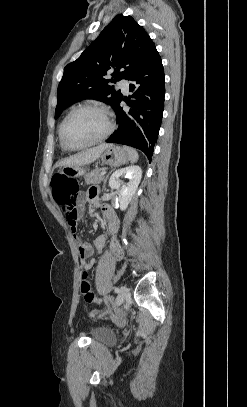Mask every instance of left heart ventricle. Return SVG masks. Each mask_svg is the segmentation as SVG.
<instances>
[{
	"label": "left heart ventricle",
	"mask_w": 247,
	"mask_h": 407,
	"mask_svg": "<svg viewBox=\"0 0 247 407\" xmlns=\"http://www.w3.org/2000/svg\"><path fill=\"white\" fill-rule=\"evenodd\" d=\"M107 126V121L100 112L80 110L66 122L64 139L70 146L84 145L103 135Z\"/></svg>",
	"instance_id": "1"
}]
</instances>
